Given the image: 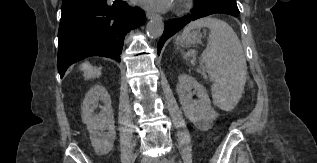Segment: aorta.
I'll list each match as a JSON object with an SVG mask.
<instances>
[{
  "instance_id": "762f6f07",
  "label": "aorta",
  "mask_w": 317,
  "mask_h": 163,
  "mask_svg": "<svg viewBox=\"0 0 317 163\" xmlns=\"http://www.w3.org/2000/svg\"><path fill=\"white\" fill-rule=\"evenodd\" d=\"M147 34L150 38H159L164 31V23L160 17L153 18L146 27Z\"/></svg>"
}]
</instances>
